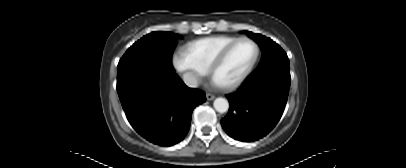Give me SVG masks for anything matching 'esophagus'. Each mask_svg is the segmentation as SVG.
<instances>
[{"mask_svg":"<svg viewBox=\"0 0 406 168\" xmlns=\"http://www.w3.org/2000/svg\"><path fill=\"white\" fill-rule=\"evenodd\" d=\"M215 98V95H213V94H211V93H207L206 94V99L208 100V101H211V100H213Z\"/></svg>","mask_w":406,"mask_h":168,"instance_id":"34e87169","label":"esophagus"}]
</instances>
